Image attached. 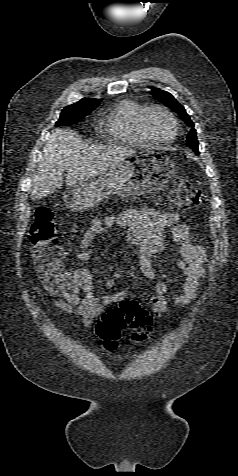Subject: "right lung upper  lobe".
<instances>
[{
	"label": "right lung upper lobe",
	"instance_id": "obj_1",
	"mask_svg": "<svg viewBox=\"0 0 238 476\" xmlns=\"http://www.w3.org/2000/svg\"><path fill=\"white\" fill-rule=\"evenodd\" d=\"M100 99H94V98H83L79 102L74 103L72 105H78V106H91V105H99Z\"/></svg>",
	"mask_w": 238,
	"mask_h": 476
}]
</instances>
